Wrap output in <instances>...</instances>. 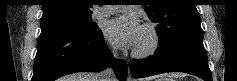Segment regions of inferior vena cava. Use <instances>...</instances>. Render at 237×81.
<instances>
[{
    "mask_svg": "<svg viewBox=\"0 0 237 81\" xmlns=\"http://www.w3.org/2000/svg\"><path fill=\"white\" fill-rule=\"evenodd\" d=\"M113 56L117 58V51L112 50ZM101 81H115V75L111 68H108L100 73Z\"/></svg>",
    "mask_w": 237,
    "mask_h": 81,
    "instance_id": "602c4592",
    "label": "inferior vena cava"
}]
</instances>
